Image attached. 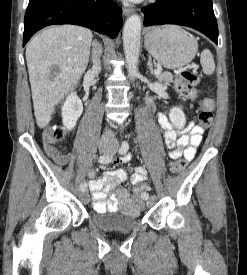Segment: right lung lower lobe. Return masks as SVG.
Here are the masks:
<instances>
[{"instance_id": "98d812e1", "label": "right lung lower lobe", "mask_w": 247, "mask_h": 275, "mask_svg": "<svg viewBox=\"0 0 247 275\" xmlns=\"http://www.w3.org/2000/svg\"><path fill=\"white\" fill-rule=\"evenodd\" d=\"M122 9L111 0H29L24 18L23 46L38 30L53 24H75L115 38Z\"/></svg>"}]
</instances>
